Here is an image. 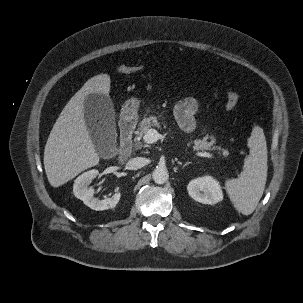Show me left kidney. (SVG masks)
<instances>
[{
	"instance_id": "obj_1",
	"label": "left kidney",
	"mask_w": 303,
	"mask_h": 303,
	"mask_svg": "<svg viewBox=\"0 0 303 303\" xmlns=\"http://www.w3.org/2000/svg\"><path fill=\"white\" fill-rule=\"evenodd\" d=\"M189 195L203 204H216L223 199L219 182L211 176L193 179L187 186Z\"/></svg>"
}]
</instances>
